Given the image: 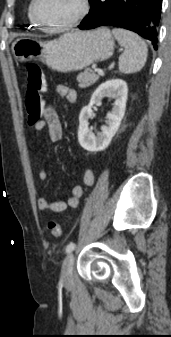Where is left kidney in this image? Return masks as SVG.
I'll list each match as a JSON object with an SVG mask.
<instances>
[{"label": "left kidney", "mask_w": 171, "mask_h": 337, "mask_svg": "<svg viewBox=\"0 0 171 337\" xmlns=\"http://www.w3.org/2000/svg\"><path fill=\"white\" fill-rule=\"evenodd\" d=\"M127 94V84L122 79L106 81L94 91L90 103L81 110L79 115L78 141L82 148L89 152H98L108 147L124 117ZM105 96L115 99V102L111 112L107 114L106 125L102 126L101 132L95 136L89 130L88 120L93 116V105Z\"/></svg>", "instance_id": "1"}]
</instances>
